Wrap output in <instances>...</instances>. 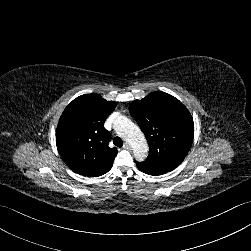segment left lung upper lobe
Segmentation results:
<instances>
[{
    "instance_id": "obj_1",
    "label": "left lung upper lobe",
    "mask_w": 251,
    "mask_h": 251,
    "mask_svg": "<svg viewBox=\"0 0 251 251\" xmlns=\"http://www.w3.org/2000/svg\"><path fill=\"white\" fill-rule=\"evenodd\" d=\"M129 111L149 143L146 160L179 166L194 137V123L188 109L172 95L157 91L131 102Z\"/></svg>"
}]
</instances>
